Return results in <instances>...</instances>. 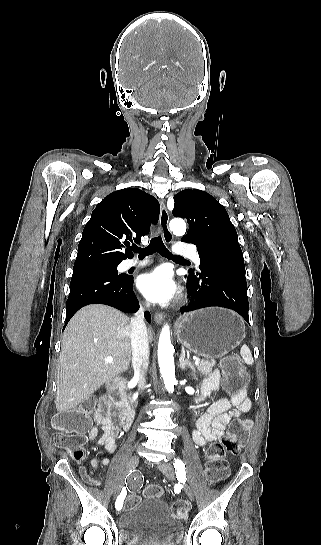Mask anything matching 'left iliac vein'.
<instances>
[{
	"instance_id": "1",
	"label": "left iliac vein",
	"mask_w": 321,
	"mask_h": 545,
	"mask_svg": "<svg viewBox=\"0 0 321 545\" xmlns=\"http://www.w3.org/2000/svg\"><path fill=\"white\" fill-rule=\"evenodd\" d=\"M158 469L162 471V473L168 478V479H175V471L171 464L169 463H159L157 465ZM183 490L186 493L187 497L192 501L194 500V493L192 489L189 487V485L184 484Z\"/></svg>"
}]
</instances>
